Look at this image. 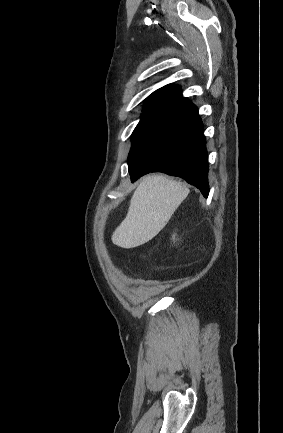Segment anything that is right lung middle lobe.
<instances>
[{
	"label": "right lung middle lobe",
	"instance_id": "right-lung-middle-lobe-1",
	"mask_svg": "<svg viewBox=\"0 0 283 433\" xmlns=\"http://www.w3.org/2000/svg\"><path fill=\"white\" fill-rule=\"evenodd\" d=\"M160 114L153 112H143L142 117L135 130L132 133V141L137 137V135L143 130V128L148 125L152 120L159 117Z\"/></svg>",
	"mask_w": 283,
	"mask_h": 433
}]
</instances>
